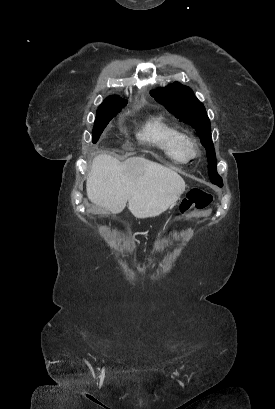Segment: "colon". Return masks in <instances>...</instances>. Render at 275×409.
Instances as JSON below:
<instances>
[{
	"label": "colon",
	"instance_id": "obj_1",
	"mask_svg": "<svg viewBox=\"0 0 275 409\" xmlns=\"http://www.w3.org/2000/svg\"><path fill=\"white\" fill-rule=\"evenodd\" d=\"M211 195L202 189H193L181 202L180 212L182 215L188 213L192 208L203 209L211 202ZM179 217H177V220Z\"/></svg>",
	"mask_w": 275,
	"mask_h": 409
}]
</instances>
